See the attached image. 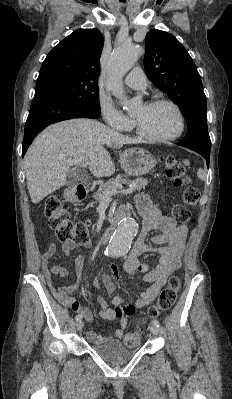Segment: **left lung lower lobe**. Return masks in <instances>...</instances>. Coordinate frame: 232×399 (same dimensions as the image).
I'll use <instances>...</instances> for the list:
<instances>
[{"instance_id": "obj_1", "label": "left lung lower lobe", "mask_w": 232, "mask_h": 399, "mask_svg": "<svg viewBox=\"0 0 232 399\" xmlns=\"http://www.w3.org/2000/svg\"><path fill=\"white\" fill-rule=\"evenodd\" d=\"M177 145H179L178 143H176ZM180 146V145H179ZM194 151V150H193ZM197 153H199L200 155H202L205 159H206V163L209 164L210 161V152H204V151H195Z\"/></svg>"}]
</instances>
